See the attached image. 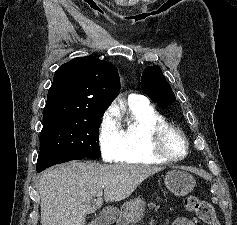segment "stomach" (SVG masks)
Wrapping results in <instances>:
<instances>
[{
	"label": "stomach",
	"instance_id": "0dacf381",
	"mask_svg": "<svg viewBox=\"0 0 237 225\" xmlns=\"http://www.w3.org/2000/svg\"><path fill=\"white\" fill-rule=\"evenodd\" d=\"M165 186L173 194L184 196L193 190L195 180L191 174L185 171L172 170L165 176ZM144 209V201L140 198H134L124 203L121 215L128 223H137L141 220Z\"/></svg>",
	"mask_w": 237,
	"mask_h": 225
}]
</instances>
